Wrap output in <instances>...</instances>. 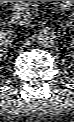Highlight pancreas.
<instances>
[{"label": "pancreas", "mask_w": 74, "mask_h": 122, "mask_svg": "<svg viewBox=\"0 0 74 122\" xmlns=\"http://www.w3.org/2000/svg\"><path fill=\"white\" fill-rule=\"evenodd\" d=\"M12 6L15 8H30L33 5H36L38 1H10Z\"/></svg>", "instance_id": "obj_1"}]
</instances>
